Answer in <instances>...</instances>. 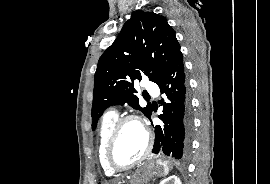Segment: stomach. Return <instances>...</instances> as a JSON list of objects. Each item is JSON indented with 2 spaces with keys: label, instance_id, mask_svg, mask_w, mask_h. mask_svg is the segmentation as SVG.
<instances>
[{
  "label": "stomach",
  "instance_id": "0dacf381",
  "mask_svg": "<svg viewBox=\"0 0 270 184\" xmlns=\"http://www.w3.org/2000/svg\"><path fill=\"white\" fill-rule=\"evenodd\" d=\"M171 168V164L167 161H148L133 172L126 181L118 184H147L154 176L167 175Z\"/></svg>",
  "mask_w": 270,
  "mask_h": 184
}]
</instances>
